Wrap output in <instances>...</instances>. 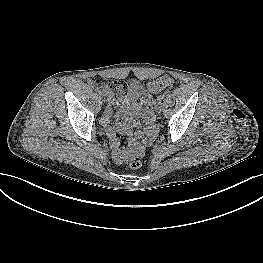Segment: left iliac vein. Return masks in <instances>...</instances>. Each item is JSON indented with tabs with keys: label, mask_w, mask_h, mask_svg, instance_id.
<instances>
[{
	"label": "left iliac vein",
	"mask_w": 263,
	"mask_h": 263,
	"mask_svg": "<svg viewBox=\"0 0 263 263\" xmlns=\"http://www.w3.org/2000/svg\"><path fill=\"white\" fill-rule=\"evenodd\" d=\"M156 101H157L158 103H161V102L163 101V98H162L161 96H158V97L156 98Z\"/></svg>",
	"instance_id": "obj_1"
}]
</instances>
